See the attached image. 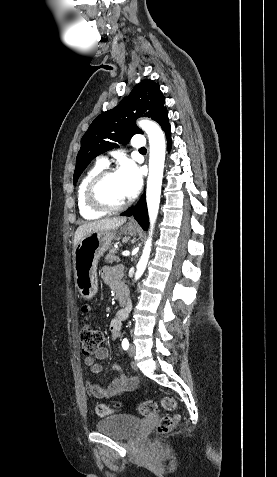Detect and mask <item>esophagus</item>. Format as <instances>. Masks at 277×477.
<instances>
[{
    "label": "esophagus",
    "mask_w": 277,
    "mask_h": 477,
    "mask_svg": "<svg viewBox=\"0 0 277 477\" xmlns=\"http://www.w3.org/2000/svg\"><path fill=\"white\" fill-rule=\"evenodd\" d=\"M131 223H132V224H135V221H134V220H132V221H131Z\"/></svg>",
    "instance_id": "obj_1"
}]
</instances>
